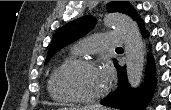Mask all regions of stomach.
Here are the masks:
<instances>
[{
	"label": "stomach",
	"instance_id": "0dacf381",
	"mask_svg": "<svg viewBox=\"0 0 171 110\" xmlns=\"http://www.w3.org/2000/svg\"><path fill=\"white\" fill-rule=\"evenodd\" d=\"M59 110H66V109H59ZM73 110H82V109H73ZM93 110V109H92Z\"/></svg>",
	"mask_w": 171,
	"mask_h": 110
}]
</instances>
